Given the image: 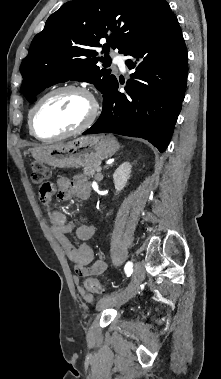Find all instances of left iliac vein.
<instances>
[{"label":"left iliac vein","instance_id":"obj_1","mask_svg":"<svg viewBox=\"0 0 221 379\" xmlns=\"http://www.w3.org/2000/svg\"><path fill=\"white\" fill-rule=\"evenodd\" d=\"M145 278V272L144 268L141 262H137L132 280L128 287L123 290L122 292L111 295V296H106L100 299L96 305V308L98 310H103L107 307L111 306H119L125 304L127 301H129L132 296L134 295L136 289L140 285V283L144 280Z\"/></svg>","mask_w":221,"mask_h":379}]
</instances>
